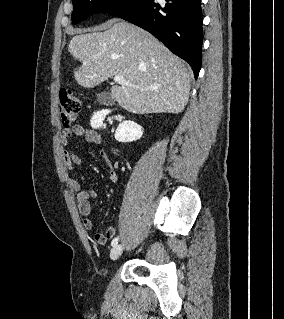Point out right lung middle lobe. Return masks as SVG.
Masks as SVG:
<instances>
[{"mask_svg": "<svg viewBox=\"0 0 284 319\" xmlns=\"http://www.w3.org/2000/svg\"><path fill=\"white\" fill-rule=\"evenodd\" d=\"M131 0H72V20L75 24L87 19L94 13L109 12L117 7L126 5Z\"/></svg>", "mask_w": 284, "mask_h": 319, "instance_id": "dd1d6c3e", "label": "right lung middle lobe"}]
</instances>
